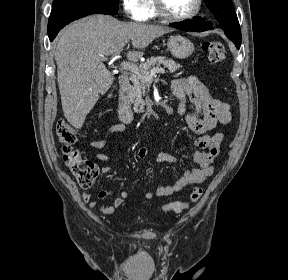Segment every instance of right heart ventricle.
Returning <instances> with one entry per match:
<instances>
[{"mask_svg": "<svg viewBox=\"0 0 288 280\" xmlns=\"http://www.w3.org/2000/svg\"><path fill=\"white\" fill-rule=\"evenodd\" d=\"M156 16L154 0L149 1V8L145 19H151Z\"/></svg>", "mask_w": 288, "mask_h": 280, "instance_id": "obj_1", "label": "right heart ventricle"}]
</instances>
